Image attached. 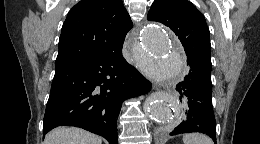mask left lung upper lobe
Wrapping results in <instances>:
<instances>
[{"mask_svg":"<svg viewBox=\"0 0 260 144\" xmlns=\"http://www.w3.org/2000/svg\"><path fill=\"white\" fill-rule=\"evenodd\" d=\"M168 26L180 39L188 60L211 67L210 32L203 14L187 0H155L147 16Z\"/></svg>","mask_w":260,"mask_h":144,"instance_id":"left-lung-upper-lobe-1","label":"left lung upper lobe"}]
</instances>
